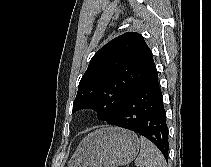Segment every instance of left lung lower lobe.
<instances>
[{
  "label": "left lung lower lobe",
  "mask_w": 211,
  "mask_h": 167,
  "mask_svg": "<svg viewBox=\"0 0 211 167\" xmlns=\"http://www.w3.org/2000/svg\"><path fill=\"white\" fill-rule=\"evenodd\" d=\"M107 124L137 132L152 141L168 157V127L157 71L124 102Z\"/></svg>",
  "instance_id": "left-lung-lower-lobe-1"
}]
</instances>
